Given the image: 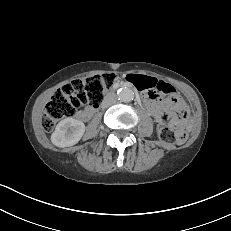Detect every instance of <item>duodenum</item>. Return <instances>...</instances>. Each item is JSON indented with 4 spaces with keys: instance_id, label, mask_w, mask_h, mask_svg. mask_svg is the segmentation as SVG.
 Here are the masks:
<instances>
[{
    "instance_id": "duodenum-1",
    "label": "duodenum",
    "mask_w": 231,
    "mask_h": 231,
    "mask_svg": "<svg viewBox=\"0 0 231 231\" xmlns=\"http://www.w3.org/2000/svg\"><path fill=\"white\" fill-rule=\"evenodd\" d=\"M143 97V96H142ZM143 100H144V103H145V105L147 106V108H148V100L147 99H145L144 97H143ZM149 109V108H148ZM84 117H89V112H86L85 114H84Z\"/></svg>"
}]
</instances>
